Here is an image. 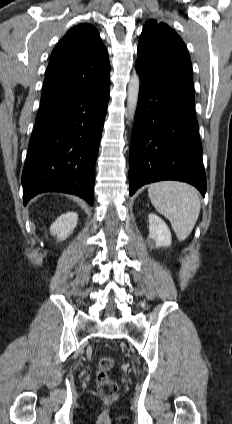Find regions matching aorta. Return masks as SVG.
I'll list each match as a JSON object with an SVG mask.
<instances>
[{
  "mask_svg": "<svg viewBox=\"0 0 232 424\" xmlns=\"http://www.w3.org/2000/svg\"><path fill=\"white\" fill-rule=\"evenodd\" d=\"M140 80L137 74H133L128 85L127 107L129 119L132 120L137 108Z\"/></svg>",
  "mask_w": 232,
  "mask_h": 424,
  "instance_id": "1",
  "label": "aorta"
}]
</instances>
